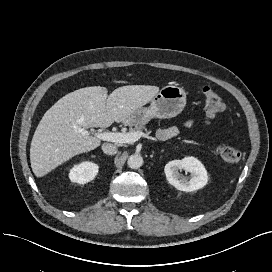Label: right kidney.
Here are the masks:
<instances>
[{
  "label": "right kidney",
  "mask_w": 272,
  "mask_h": 272,
  "mask_svg": "<svg viewBox=\"0 0 272 272\" xmlns=\"http://www.w3.org/2000/svg\"><path fill=\"white\" fill-rule=\"evenodd\" d=\"M98 165L93 162H82L75 165L69 172V178L74 183L85 184L95 178L98 173Z\"/></svg>",
  "instance_id": "ca27d5eb"
}]
</instances>
